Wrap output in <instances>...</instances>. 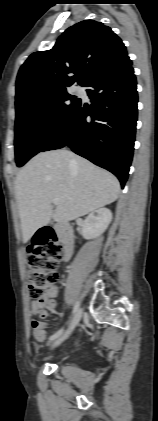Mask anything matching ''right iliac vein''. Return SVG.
Instances as JSON below:
<instances>
[{
    "mask_svg": "<svg viewBox=\"0 0 158 421\" xmlns=\"http://www.w3.org/2000/svg\"><path fill=\"white\" fill-rule=\"evenodd\" d=\"M82 314H83L82 309H78V311L74 314L68 329L62 335H60L57 339L53 341L52 348L58 346L70 336L72 331L75 329V327L78 325L79 321L81 320Z\"/></svg>",
    "mask_w": 158,
    "mask_h": 421,
    "instance_id": "63e3f726",
    "label": "right iliac vein"
}]
</instances>
